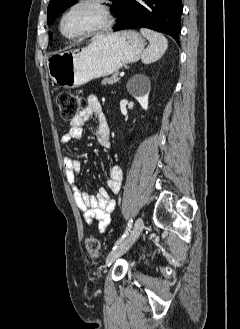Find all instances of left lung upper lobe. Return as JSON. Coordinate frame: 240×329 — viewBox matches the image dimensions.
<instances>
[{"label": "left lung upper lobe", "instance_id": "1", "mask_svg": "<svg viewBox=\"0 0 240 329\" xmlns=\"http://www.w3.org/2000/svg\"><path fill=\"white\" fill-rule=\"evenodd\" d=\"M77 0H51L48 8V25L52 24L56 19L58 14L65 10L67 7L72 5ZM114 3V7L111 8V12L115 17H119L123 10L124 4L126 0H111ZM50 38L52 39V34H50Z\"/></svg>", "mask_w": 240, "mask_h": 329}]
</instances>
